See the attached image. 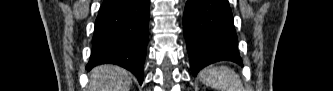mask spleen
Instances as JSON below:
<instances>
[{"mask_svg":"<svg viewBox=\"0 0 333 91\" xmlns=\"http://www.w3.org/2000/svg\"><path fill=\"white\" fill-rule=\"evenodd\" d=\"M199 78L205 85L217 91H243L238 74L225 66H209L200 72Z\"/></svg>","mask_w":333,"mask_h":91,"instance_id":"1","label":"spleen"}]
</instances>
